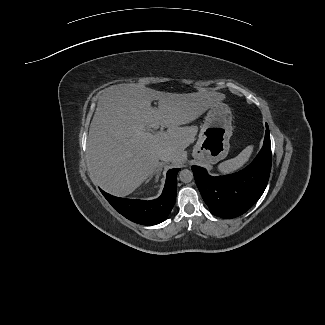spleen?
<instances>
[{
	"label": "spleen",
	"mask_w": 325,
	"mask_h": 325,
	"mask_svg": "<svg viewBox=\"0 0 325 325\" xmlns=\"http://www.w3.org/2000/svg\"><path fill=\"white\" fill-rule=\"evenodd\" d=\"M252 152L253 145L247 146L235 158H232L219 164L218 170L223 174H228L240 169L249 160Z\"/></svg>",
	"instance_id": "1"
}]
</instances>
